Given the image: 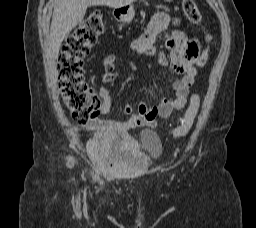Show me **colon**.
Returning a JSON list of instances; mask_svg holds the SVG:
<instances>
[{"label": "colon", "mask_w": 256, "mask_h": 228, "mask_svg": "<svg viewBox=\"0 0 256 228\" xmlns=\"http://www.w3.org/2000/svg\"><path fill=\"white\" fill-rule=\"evenodd\" d=\"M182 9L191 23H202L201 13L194 0H182ZM103 29L102 14L99 11L92 12L67 38L57 59L59 87L64 104L72 119L79 123L92 119L101 108L100 99L85 81L83 61ZM208 58L209 51H203L196 59L197 65H205ZM199 104V96L193 95L186 112L171 129L174 137L188 134L198 113Z\"/></svg>", "instance_id": "1"}]
</instances>
